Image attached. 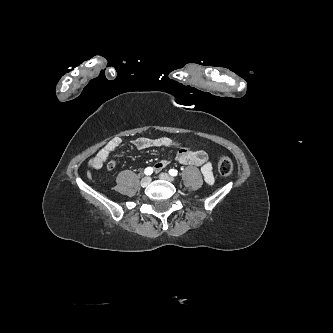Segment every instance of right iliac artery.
Wrapping results in <instances>:
<instances>
[{"mask_svg": "<svg viewBox=\"0 0 333 333\" xmlns=\"http://www.w3.org/2000/svg\"><path fill=\"white\" fill-rule=\"evenodd\" d=\"M146 175H151L153 173V169L151 167H147L144 171Z\"/></svg>", "mask_w": 333, "mask_h": 333, "instance_id": "right-iliac-artery-1", "label": "right iliac artery"}]
</instances>
